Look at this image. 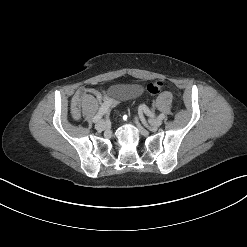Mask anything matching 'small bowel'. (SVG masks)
Here are the masks:
<instances>
[{
    "instance_id": "obj_1",
    "label": "small bowel",
    "mask_w": 247,
    "mask_h": 247,
    "mask_svg": "<svg viewBox=\"0 0 247 247\" xmlns=\"http://www.w3.org/2000/svg\"><path fill=\"white\" fill-rule=\"evenodd\" d=\"M90 93H96L99 96H102V92L91 89V88H80L76 91V93L73 96L71 108H72V114L75 118L80 117L79 107L81 104V101L85 99Z\"/></svg>"
}]
</instances>
